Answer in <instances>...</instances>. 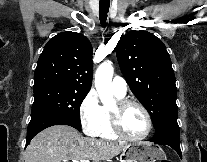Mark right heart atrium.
<instances>
[{"label":"right heart atrium","mask_w":207,"mask_h":162,"mask_svg":"<svg viewBox=\"0 0 207 162\" xmlns=\"http://www.w3.org/2000/svg\"><path fill=\"white\" fill-rule=\"evenodd\" d=\"M79 120L85 134L98 136L103 124V113L95 91H88L82 99L79 106Z\"/></svg>","instance_id":"obj_1"}]
</instances>
